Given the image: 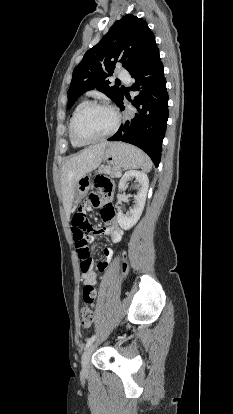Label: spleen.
<instances>
[{
  "instance_id": "spleen-1",
  "label": "spleen",
  "mask_w": 233,
  "mask_h": 414,
  "mask_svg": "<svg viewBox=\"0 0 233 414\" xmlns=\"http://www.w3.org/2000/svg\"><path fill=\"white\" fill-rule=\"evenodd\" d=\"M140 167L144 172H150L152 169V161L147 155H144V162Z\"/></svg>"
}]
</instances>
